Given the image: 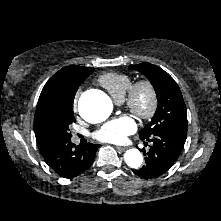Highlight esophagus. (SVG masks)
I'll list each match as a JSON object with an SVG mask.
<instances>
[{"label":"esophagus","mask_w":221,"mask_h":221,"mask_svg":"<svg viewBox=\"0 0 221 221\" xmlns=\"http://www.w3.org/2000/svg\"><path fill=\"white\" fill-rule=\"evenodd\" d=\"M116 148L118 149V150H122V151H124L126 148L125 147H119V146H116Z\"/></svg>","instance_id":"obj_1"}]
</instances>
